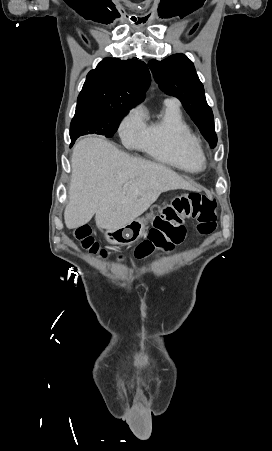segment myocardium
Listing matches in <instances>:
<instances>
[{"label":"myocardium","mask_w":272,"mask_h":451,"mask_svg":"<svg viewBox=\"0 0 272 451\" xmlns=\"http://www.w3.org/2000/svg\"><path fill=\"white\" fill-rule=\"evenodd\" d=\"M188 153L196 164V170H201L207 160L202 146L197 141H195L188 147Z\"/></svg>","instance_id":"obj_1"}]
</instances>
